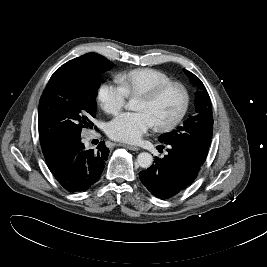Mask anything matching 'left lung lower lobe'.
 Masks as SVG:
<instances>
[{"mask_svg":"<svg viewBox=\"0 0 267 267\" xmlns=\"http://www.w3.org/2000/svg\"><path fill=\"white\" fill-rule=\"evenodd\" d=\"M164 158L140 172V180L156 197L168 199L186 189L196 179L204 161L180 145H168Z\"/></svg>","mask_w":267,"mask_h":267,"instance_id":"1","label":"left lung lower lobe"}]
</instances>
